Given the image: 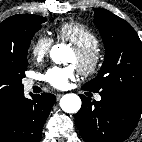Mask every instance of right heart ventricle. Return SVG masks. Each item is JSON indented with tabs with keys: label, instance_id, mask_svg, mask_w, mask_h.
Wrapping results in <instances>:
<instances>
[{
	"label": "right heart ventricle",
	"instance_id": "e07e8e85",
	"mask_svg": "<svg viewBox=\"0 0 142 142\" xmlns=\"http://www.w3.org/2000/svg\"><path fill=\"white\" fill-rule=\"evenodd\" d=\"M55 33L59 40L67 41L76 48H92L100 44L98 36L89 27L76 21L59 25Z\"/></svg>",
	"mask_w": 142,
	"mask_h": 142
}]
</instances>
